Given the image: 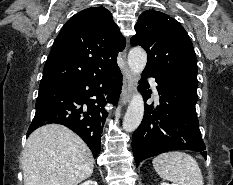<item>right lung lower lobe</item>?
I'll list each match as a JSON object with an SVG mask.
<instances>
[{
  "label": "right lung lower lobe",
  "mask_w": 233,
  "mask_h": 185,
  "mask_svg": "<svg viewBox=\"0 0 233 185\" xmlns=\"http://www.w3.org/2000/svg\"><path fill=\"white\" fill-rule=\"evenodd\" d=\"M119 67L75 80L41 85L35 117L27 136L38 127L58 123L77 133L97 157L108 102L117 104L122 87Z\"/></svg>",
  "instance_id": "98d812e1"
}]
</instances>
